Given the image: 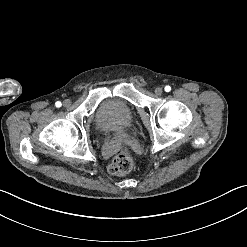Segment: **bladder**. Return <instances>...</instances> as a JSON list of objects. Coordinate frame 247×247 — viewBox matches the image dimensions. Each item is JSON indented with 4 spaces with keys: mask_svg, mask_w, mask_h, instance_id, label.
<instances>
[{
    "mask_svg": "<svg viewBox=\"0 0 247 247\" xmlns=\"http://www.w3.org/2000/svg\"><path fill=\"white\" fill-rule=\"evenodd\" d=\"M94 123L104 131L128 130L134 125V112L125 102L108 100L96 109Z\"/></svg>",
    "mask_w": 247,
    "mask_h": 247,
    "instance_id": "bladder-1",
    "label": "bladder"
}]
</instances>
